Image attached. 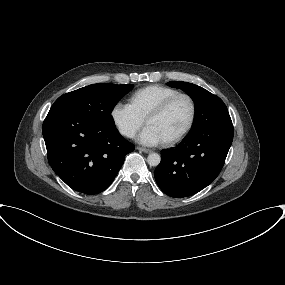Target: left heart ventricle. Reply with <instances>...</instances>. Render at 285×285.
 I'll return each instance as SVG.
<instances>
[{
  "label": "left heart ventricle",
  "instance_id": "1",
  "mask_svg": "<svg viewBox=\"0 0 285 285\" xmlns=\"http://www.w3.org/2000/svg\"><path fill=\"white\" fill-rule=\"evenodd\" d=\"M191 108L187 99L180 98L161 116L151 119L147 125L153 127L163 141L179 134L187 125Z\"/></svg>",
  "mask_w": 285,
  "mask_h": 285
}]
</instances>
